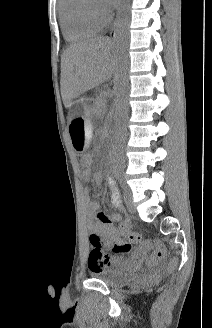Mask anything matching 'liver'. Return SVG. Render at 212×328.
<instances>
[{
    "label": "liver",
    "instance_id": "obj_1",
    "mask_svg": "<svg viewBox=\"0 0 212 328\" xmlns=\"http://www.w3.org/2000/svg\"><path fill=\"white\" fill-rule=\"evenodd\" d=\"M112 41L95 37L68 47L61 58V95L65 105L111 76Z\"/></svg>",
    "mask_w": 212,
    "mask_h": 328
}]
</instances>
